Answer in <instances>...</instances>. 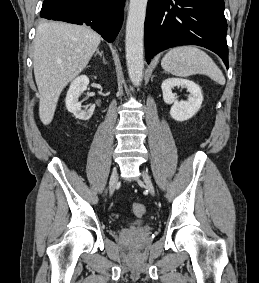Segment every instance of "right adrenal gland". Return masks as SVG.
<instances>
[{"label":"right adrenal gland","mask_w":259,"mask_h":283,"mask_svg":"<svg viewBox=\"0 0 259 283\" xmlns=\"http://www.w3.org/2000/svg\"><path fill=\"white\" fill-rule=\"evenodd\" d=\"M97 55H99L102 58L103 57V52H100L99 49H97V51H96L94 56L96 57ZM103 59H104V57H103Z\"/></svg>","instance_id":"2a0ac1e0"}]
</instances>
